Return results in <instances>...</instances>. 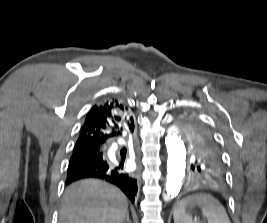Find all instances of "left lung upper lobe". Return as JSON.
<instances>
[{
  "label": "left lung upper lobe",
  "instance_id": "5c2ea615",
  "mask_svg": "<svg viewBox=\"0 0 267 223\" xmlns=\"http://www.w3.org/2000/svg\"><path fill=\"white\" fill-rule=\"evenodd\" d=\"M180 128L190 150L193 171H224L215 139L201 121L186 117L180 124Z\"/></svg>",
  "mask_w": 267,
  "mask_h": 223
}]
</instances>
